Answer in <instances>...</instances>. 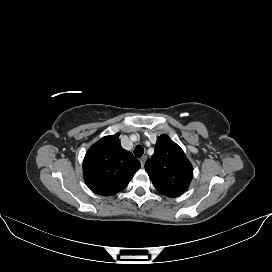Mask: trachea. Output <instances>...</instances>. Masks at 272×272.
<instances>
[{"mask_svg":"<svg viewBox=\"0 0 272 272\" xmlns=\"http://www.w3.org/2000/svg\"><path fill=\"white\" fill-rule=\"evenodd\" d=\"M134 154L136 157L140 158L144 154V148L140 145L136 146L134 149Z\"/></svg>","mask_w":272,"mask_h":272,"instance_id":"trachea-1","label":"trachea"}]
</instances>
